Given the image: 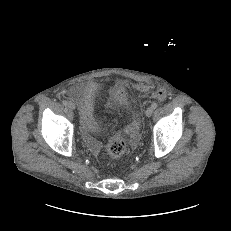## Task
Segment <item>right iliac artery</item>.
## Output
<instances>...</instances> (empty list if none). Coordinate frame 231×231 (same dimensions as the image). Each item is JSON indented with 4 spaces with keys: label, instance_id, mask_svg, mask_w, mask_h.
Listing matches in <instances>:
<instances>
[{
    "label": "right iliac artery",
    "instance_id": "1",
    "mask_svg": "<svg viewBox=\"0 0 231 231\" xmlns=\"http://www.w3.org/2000/svg\"><path fill=\"white\" fill-rule=\"evenodd\" d=\"M68 102L66 100L63 101V105L67 106Z\"/></svg>",
    "mask_w": 231,
    "mask_h": 231
}]
</instances>
